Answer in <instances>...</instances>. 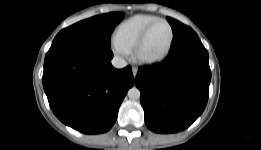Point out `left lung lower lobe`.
<instances>
[{
    "instance_id": "0a47b994",
    "label": "left lung lower lobe",
    "mask_w": 261,
    "mask_h": 150,
    "mask_svg": "<svg viewBox=\"0 0 261 150\" xmlns=\"http://www.w3.org/2000/svg\"><path fill=\"white\" fill-rule=\"evenodd\" d=\"M210 80L208 52L187 26L174 34L163 62L141 67L136 75L147 127L156 133L188 128L207 104Z\"/></svg>"
}]
</instances>
